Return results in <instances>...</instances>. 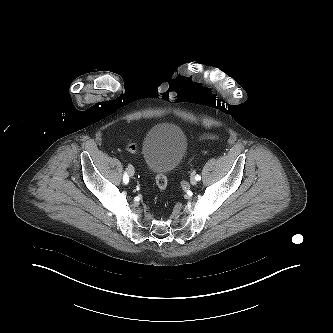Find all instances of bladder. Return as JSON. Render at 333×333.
Returning <instances> with one entry per match:
<instances>
[{
  "instance_id": "obj_1",
  "label": "bladder",
  "mask_w": 333,
  "mask_h": 333,
  "mask_svg": "<svg viewBox=\"0 0 333 333\" xmlns=\"http://www.w3.org/2000/svg\"><path fill=\"white\" fill-rule=\"evenodd\" d=\"M187 150V139L182 129L172 123H159L145 134L141 155L147 169L168 174L176 170Z\"/></svg>"
}]
</instances>
